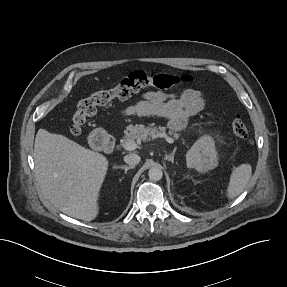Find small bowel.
Listing matches in <instances>:
<instances>
[{"label":"small bowel","mask_w":287,"mask_h":287,"mask_svg":"<svg viewBox=\"0 0 287 287\" xmlns=\"http://www.w3.org/2000/svg\"><path fill=\"white\" fill-rule=\"evenodd\" d=\"M204 97L195 89L180 94L163 91L143 93L139 100L124 110L127 116H157L168 120V127L177 131L184 128L190 118L204 108Z\"/></svg>","instance_id":"obj_1"}]
</instances>
